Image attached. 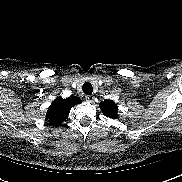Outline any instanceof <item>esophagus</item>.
<instances>
[{
	"label": "esophagus",
	"instance_id": "obj_1",
	"mask_svg": "<svg viewBox=\"0 0 182 182\" xmlns=\"http://www.w3.org/2000/svg\"><path fill=\"white\" fill-rule=\"evenodd\" d=\"M85 99H86L88 102H93L94 96H93V95H86Z\"/></svg>",
	"mask_w": 182,
	"mask_h": 182
}]
</instances>
